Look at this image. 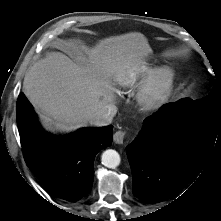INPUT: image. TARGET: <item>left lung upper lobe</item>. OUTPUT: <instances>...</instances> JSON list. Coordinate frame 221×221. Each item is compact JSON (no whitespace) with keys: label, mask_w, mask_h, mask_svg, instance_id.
<instances>
[{"label":"left lung upper lobe","mask_w":221,"mask_h":221,"mask_svg":"<svg viewBox=\"0 0 221 221\" xmlns=\"http://www.w3.org/2000/svg\"><path fill=\"white\" fill-rule=\"evenodd\" d=\"M221 94L216 88L209 96L199 99H189L183 104V113L191 118L207 119L212 121L221 120Z\"/></svg>","instance_id":"left-lung-upper-lobe-1"}]
</instances>
